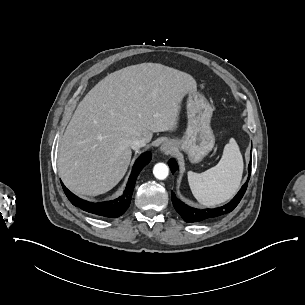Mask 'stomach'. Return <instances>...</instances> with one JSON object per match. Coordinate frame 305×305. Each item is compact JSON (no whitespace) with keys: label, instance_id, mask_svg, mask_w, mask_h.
Wrapping results in <instances>:
<instances>
[{"label":"stomach","instance_id":"0dacf381","mask_svg":"<svg viewBox=\"0 0 305 305\" xmlns=\"http://www.w3.org/2000/svg\"><path fill=\"white\" fill-rule=\"evenodd\" d=\"M189 125L186 137L176 142V149H184L192 162L200 161L210 152L215 143V137L210 128L212 107L207 100L199 94H189L188 104Z\"/></svg>","mask_w":305,"mask_h":305}]
</instances>
